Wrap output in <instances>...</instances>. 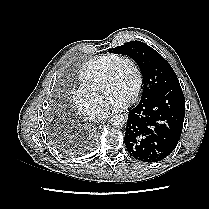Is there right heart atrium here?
Returning a JSON list of instances; mask_svg holds the SVG:
<instances>
[{
  "mask_svg": "<svg viewBox=\"0 0 209 209\" xmlns=\"http://www.w3.org/2000/svg\"><path fill=\"white\" fill-rule=\"evenodd\" d=\"M71 101L77 110L89 119H99L104 113L105 102L92 90L78 87L71 92Z\"/></svg>",
  "mask_w": 209,
  "mask_h": 209,
  "instance_id": "obj_1",
  "label": "right heart atrium"
}]
</instances>
